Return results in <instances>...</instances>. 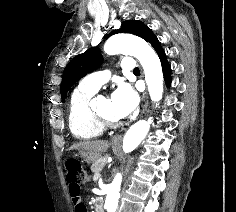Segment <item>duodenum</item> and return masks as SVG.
<instances>
[{
	"instance_id": "410a0bca",
	"label": "duodenum",
	"mask_w": 236,
	"mask_h": 212,
	"mask_svg": "<svg viewBox=\"0 0 236 212\" xmlns=\"http://www.w3.org/2000/svg\"><path fill=\"white\" fill-rule=\"evenodd\" d=\"M95 212H104L103 201L100 197H96L94 200Z\"/></svg>"
}]
</instances>
